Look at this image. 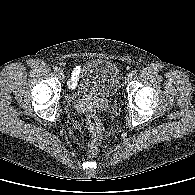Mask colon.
<instances>
[{"mask_svg": "<svg viewBox=\"0 0 195 195\" xmlns=\"http://www.w3.org/2000/svg\"><path fill=\"white\" fill-rule=\"evenodd\" d=\"M87 127L92 135L91 144L89 146V154L93 156L97 152L98 144L102 133V124L99 117L96 114L91 113L88 115Z\"/></svg>", "mask_w": 195, "mask_h": 195, "instance_id": "5ec220e1", "label": "colon"}]
</instances>
